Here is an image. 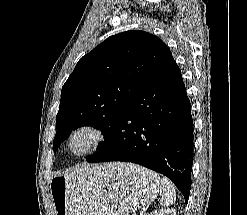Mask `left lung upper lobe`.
Returning a JSON list of instances; mask_svg holds the SVG:
<instances>
[{"instance_id": "1", "label": "left lung upper lobe", "mask_w": 247, "mask_h": 215, "mask_svg": "<svg viewBox=\"0 0 247 215\" xmlns=\"http://www.w3.org/2000/svg\"><path fill=\"white\" fill-rule=\"evenodd\" d=\"M168 52L158 37L127 31L109 37L83 56L62 87L54 150L73 130L90 125L105 136L98 151Z\"/></svg>"}]
</instances>
